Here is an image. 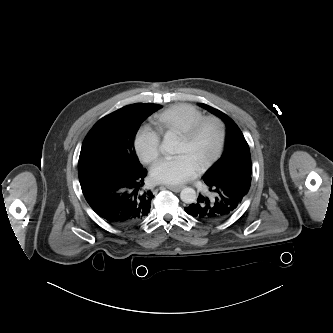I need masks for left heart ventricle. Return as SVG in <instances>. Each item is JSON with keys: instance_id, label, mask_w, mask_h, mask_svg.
I'll list each match as a JSON object with an SVG mask.
<instances>
[{"instance_id": "obj_1", "label": "left heart ventricle", "mask_w": 333, "mask_h": 333, "mask_svg": "<svg viewBox=\"0 0 333 333\" xmlns=\"http://www.w3.org/2000/svg\"><path fill=\"white\" fill-rule=\"evenodd\" d=\"M218 137L217 126L214 123H207L193 141L187 142L179 138L176 153L186 154L199 167L213 155L217 147Z\"/></svg>"}]
</instances>
